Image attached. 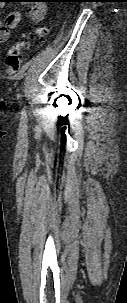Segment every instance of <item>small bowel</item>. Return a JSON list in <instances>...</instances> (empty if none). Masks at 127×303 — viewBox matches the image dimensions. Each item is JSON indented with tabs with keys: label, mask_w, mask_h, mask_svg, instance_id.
<instances>
[{
	"label": "small bowel",
	"mask_w": 127,
	"mask_h": 303,
	"mask_svg": "<svg viewBox=\"0 0 127 303\" xmlns=\"http://www.w3.org/2000/svg\"><path fill=\"white\" fill-rule=\"evenodd\" d=\"M42 0H37L28 9V17L32 21H42L45 18L47 7ZM21 22V13H10L6 21L0 20V42H4L8 39L10 31L15 29Z\"/></svg>",
	"instance_id": "1"
}]
</instances>
